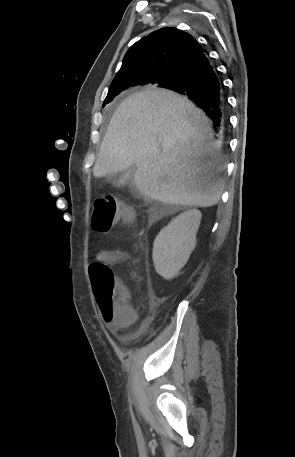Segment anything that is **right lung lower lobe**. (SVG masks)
<instances>
[{
  "mask_svg": "<svg viewBox=\"0 0 295 457\" xmlns=\"http://www.w3.org/2000/svg\"><path fill=\"white\" fill-rule=\"evenodd\" d=\"M159 87L188 96L206 112L216 127L225 124L227 103L224 86L204 53L192 59L176 78Z\"/></svg>",
  "mask_w": 295,
  "mask_h": 457,
  "instance_id": "1",
  "label": "right lung lower lobe"
}]
</instances>
